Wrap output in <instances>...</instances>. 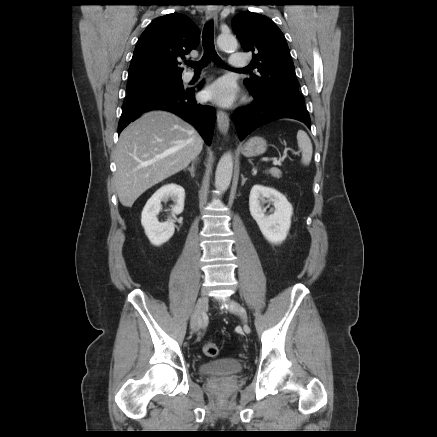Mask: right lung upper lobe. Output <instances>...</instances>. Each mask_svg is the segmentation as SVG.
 Returning a JSON list of instances; mask_svg holds the SVG:
<instances>
[{
	"instance_id": "cb5924a9",
	"label": "right lung upper lobe",
	"mask_w": 437,
	"mask_h": 437,
	"mask_svg": "<svg viewBox=\"0 0 437 437\" xmlns=\"http://www.w3.org/2000/svg\"><path fill=\"white\" fill-rule=\"evenodd\" d=\"M199 29L189 17L171 13L153 20L141 34L130 63L129 78L181 76L179 61L199 44Z\"/></svg>"
}]
</instances>
